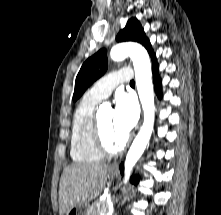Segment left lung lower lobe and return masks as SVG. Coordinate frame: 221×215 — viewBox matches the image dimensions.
<instances>
[{"label": "left lung lower lobe", "mask_w": 221, "mask_h": 215, "mask_svg": "<svg viewBox=\"0 0 221 215\" xmlns=\"http://www.w3.org/2000/svg\"><path fill=\"white\" fill-rule=\"evenodd\" d=\"M151 58H152V62H153L152 71H153V80H154L155 90H156V93H157L158 97L161 98V79H160L159 74H158V71H159L158 64L155 60V58H156L155 55H153ZM120 171L123 174V172H124L123 164L120 165ZM138 181L139 180H138L137 177H132L131 178L132 183L137 184Z\"/></svg>", "instance_id": "obj_1"}]
</instances>
